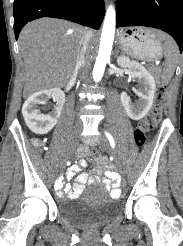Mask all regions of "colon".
<instances>
[{
    "instance_id": "obj_1",
    "label": "colon",
    "mask_w": 183,
    "mask_h": 246,
    "mask_svg": "<svg viewBox=\"0 0 183 246\" xmlns=\"http://www.w3.org/2000/svg\"><path fill=\"white\" fill-rule=\"evenodd\" d=\"M165 95L166 88L165 86L160 85L157 89L155 101L151 110L146 115V117L140 121L138 128L135 131V140L139 145L146 143L153 130L160 123L163 115V102ZM91 153L99 154L100 150L92 149Z\"/></svg>"
}]
</instances>
